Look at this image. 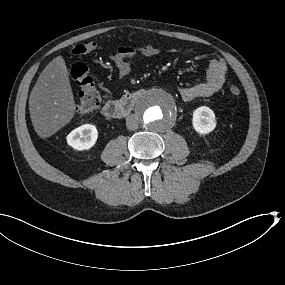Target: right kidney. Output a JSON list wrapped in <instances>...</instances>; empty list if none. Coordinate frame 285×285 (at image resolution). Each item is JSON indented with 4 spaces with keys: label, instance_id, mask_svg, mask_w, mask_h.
Listing matches in <instances>:
<instances>
[{
    "label": "right kidney",
    "instance_id": "obj_1",
    "mask_svg": "<svg viewBox=\"0 0 285 285\" xmlns=\"http://www.w3.org/2000/svg\"><path fill=\"white\" fill-rule=\"evenodd\" d=\"M97 137L96 127L84 124L68 134L67 143L76 150H88L95 144Z\"/></svg>",
    "mask_w": 285,
    "mask_h": 285
}]
</instances>
